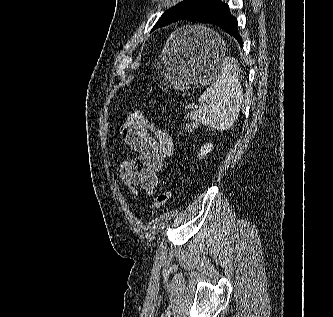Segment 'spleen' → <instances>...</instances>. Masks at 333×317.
<instances>
[{
    "instance_id": "1",
    "label": "spleen",
    "mask_w": 333,
    "mask_h": 317,
    "mask_svg": "<svg viewBox=\"0 0 333 317\" xmlns=\"http://www.w3.org/2000/svg\"><path fill=\"white\" fill-rule=\"evenodd\" d=\"M188 28L196 32L200 30V27L196 26ZM205 31H208L221 45L224 44L213 30L205 29ZM243 97L237 63L225 58L212 85L198 97L201 107L191 112L187 118H190L195 125L203 124L217 130H227L240 114Z\"/></svg>"
}]
</instances>
